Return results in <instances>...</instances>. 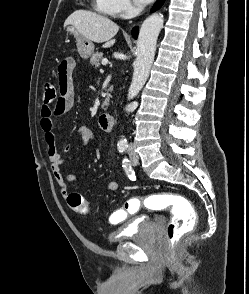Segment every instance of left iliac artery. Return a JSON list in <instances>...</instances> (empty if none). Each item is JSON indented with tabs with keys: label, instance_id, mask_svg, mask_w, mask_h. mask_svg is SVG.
I'll return each mask as SVG.
<instances>
[{
	"label": "left iliac artery",
	"instance_id": "obj_1",
	"mask_svg": "<svg viewBox=\"0 0 249 294\" xmlns=\"http://www.w3.org/2000/svg\"><path fill=\"white\" fill-rule=\"evenodd\" d=\"M123 167H124V170H125L127 176L129 177V179L135 180L134 171L132 170L128 159H126V158L123 160Z\"/></svg>",
	"mask_w": 249,
	"mask_h": 294
}]
</instances>
